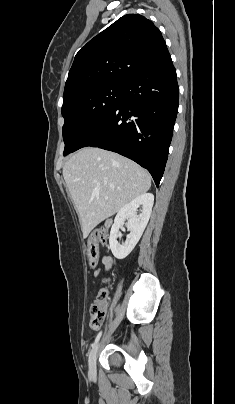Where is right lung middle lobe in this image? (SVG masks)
Returning <instances> with one entry per match:
<instances>
[{"label": "right lung middle lobe", "instance_id": "1", "mask_svg": "<svg viewBox=\"0 0 235 404\" xmlns=\"http://www.w3.org/2000/svg\"><path fill=\"white\" fill-rule=\"evenodd\" d=\"M123 84H108L86 91L63 104L64 155L73 152L88 131L120 102Z\"/></svg>", "mask_w": 235, "mask_h": 404}]
</instances>
